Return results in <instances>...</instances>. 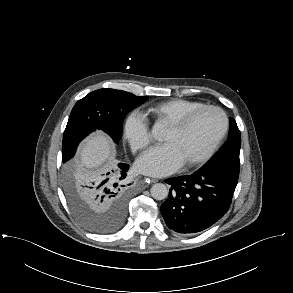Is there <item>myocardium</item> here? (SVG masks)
<instances>
[{
	"instance_id": "1",
	"label": "myocardium",
	"mask_w": 293,
	"mask_h": 293,
	"mask_svg": "<svg viewBox=\"0 0 293 293\" xmlns=\"http://www.w3.org/2000/svg\"><path fill=\"white\" fill-rule=\"evenodd\" d=\"M205 111H215L217 113H219L223 119V128L221 130V132L219 133V135L217 136V138L214 140V142L211 144V146L207 149V151L202 154L201 156H199L198 158L184 163L183 166L185 168H195L198 167L202 164H204L205 162H207L213 155L214 153L217 151L218 147L220 146V144L222 143V141L224 140V138L226 137L228 130H229V118L226 114V112L218 107V106H213V105H204L198 109H195L189 113H187L186 115H184L183 117H181L179 120L171 123L168 128L171 129L174 132H182L183 130H185L188 125L201 113L205 112Z\"/></svg>"
}]
</instances>
